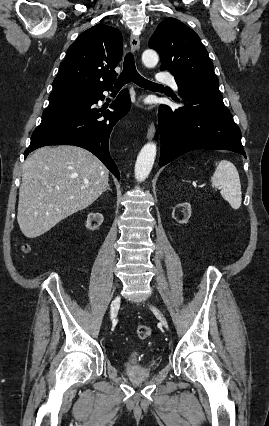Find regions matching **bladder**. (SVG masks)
<instances>
[{
	"label": "bladder",
	"mask_w": 269,
	"mask_h": 426,
	"mask_svg": "<svg viewBox=\"0 0 269 426\" xmlns=\"http://www.w3.org/2000/svg\"><path fill=\"white\" fill-rule=\"evenodd\" d=\"M139 360H140V356H135V355H131L128 359H127V364L129 366H135L139 364Z\"/></svg>",
	"instance_id": "31cf9c89"
}]
</instances>
